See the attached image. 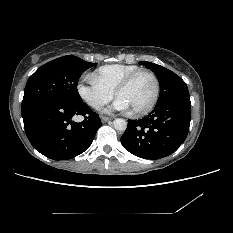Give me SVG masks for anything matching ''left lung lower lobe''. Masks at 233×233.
I'll list each match as a JSON object with an SVG mask.
<instances>
[{"mask_svg":"<svg viewBox=\"0 0 233 233\" xmlns=\"http://www.w3.org/2000/svg\"><path fill=\"white\" fill-rule=\"evenodd\" d=\"M189 95L171 99L148 116L128 121L121 137L125 149L145 159H159L175 152L187 137L190 126Z\"/></svg>","mask_w":233,"mask_h":233,"instance_id":"left-lung-lower-lobe-1","label":"left lung lower lobe"}]
</instances>
